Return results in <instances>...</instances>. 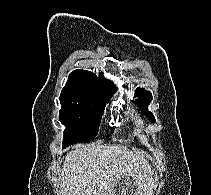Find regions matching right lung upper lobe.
Listing matches in <instances>:
<instances>
[{"mask_svg": "<svg viewBox=\"0 0 211 195\" xmlns=\"http://www.w3.org/2000/svg\"><path fill=\"white\" fill-rule=\"evenodd\" d=\"M116 86L105 79L102 73L97 77L85 70H74L70 73L60 100L73 102H109L111 94L116 92ZM109 91V92H108Z\"/></svg>", "mask_w": 211, "mask_h": 195, "instance_id": "right-lung-upper-lobe-1", "label": "right lung upper lobe"}]
</instances>
